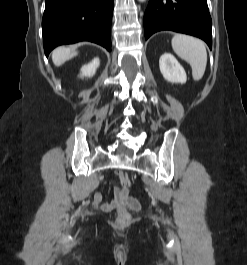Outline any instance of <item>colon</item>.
I'll return each mask as SVG.
<instances>
[{
    "label": "colon",
    "mask_w": 247,
    "mask_h": 265,
    "mask_svg": "<svg viewBox=\"0 0 247 265\" xmlns=\"http://www.w3.org/2000/svg\"><path fill=\"white\" fill-rule=\"evenodd\" d=\"M118 177L120 179L121 189L123 191L128 192V189L130 187V180L128 176L122 172H119ZM129 221H130V215L127 212L126 208L120 207L117 214V220H116L117 225L123 227L126 226L129 223Z\"/></svg>",
    "instance_id": "5ec220e1"
}]
</instances>
